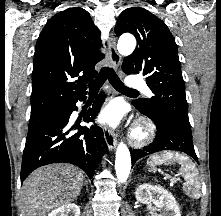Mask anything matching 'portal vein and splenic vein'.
Returning <instances> with one entry per match:
<instances>
[{
  "label": "portal vein and splenic vein",
  "mask_w": 221,
  "mask_h": 216,
  "mask_svg": "<svg viewBox=\"0 0 221 216\" xmlns=\"http://www.w3.org/2000/svg\"><path fill=\"white\" fill-rule=\"evenodd\" d=\"M168 178H170L169 176H167ZM173 181H176V179H172Z\"/></svg>",
  "instance_id": "1"
}]
</instances>
